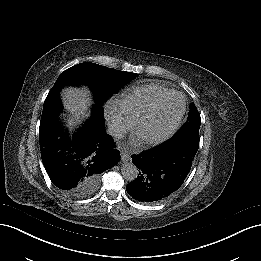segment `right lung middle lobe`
Masks as SVG:
<instances>
[{
	"instance_id": "dd1d6c3e",
	"label": "right lung middle lobe",
	"mask_w": 261,
	"mask_h": 261,
	"mask_svg": "<svg viewBox=\"0 0 261 261\" xmlns=\"http://www.w3.org/2000/svg\"><path fill=\"white\" fill-rule=\"evenodd\" d=\"M136 73L119 71L95 63H80L64 71L55 82L54 88H61L70 84L84 83L93 91L97 103L103 102L128 81L136 77ZM85 188L80 186L79 195Z\"/></svg>"
}]
</instances>
